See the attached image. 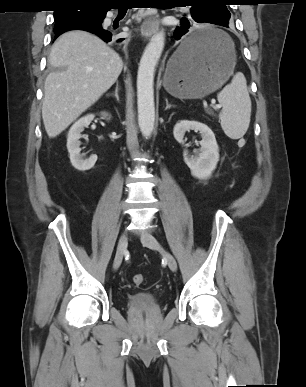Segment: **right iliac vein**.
I'll return each instance as SVG.
<instances>
[{
	"mask_svg": "<svg viewBox=\"0 0 306 387\" xmlns=\"http://www.w3.org/2000/svg\"><path fill=\"white\" fill-rule=\"evenodd\" d=\"M126 249H127V234L124 232L121 234L117 245V251H116L114 264H113V267L115 270L120 267L123 257L125 255Z\"/></svg>",
	"mask_w": 306,
	"mask_h": 387,
	"instance_id": "obj_1",
	"label": "right iliac vein"
}]
</instances>
